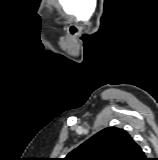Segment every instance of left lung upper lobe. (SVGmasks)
I'll return each instance as SVG.
<instances>
[{
	"mask_svg": "<svg viewBox=\"0 0 158 160\" xmlns=\"http://www.w3.org/2000/svg\"><path fill=\"white\" fill-rule=\"evenodd\" d=\"M135 146L125 130L109 127L72 150L64 160H129Z\"/></svg>",
	"mask_w": 158,
	"mask_h": 160,
	"instance_id": "left-lung-upper-lobe-1",
	"label": "left lung upper lobe"
}]
</instances>
